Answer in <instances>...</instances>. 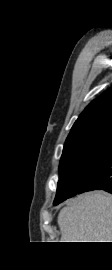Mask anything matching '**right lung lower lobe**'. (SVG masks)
<instances>
[{"label": "right lung lower lobe", "instance_id": "1", "mask_svg": "<svg viewBox=\"0 0 112 270\" xmlns=\"http://www.w3.org/2000/svg\"><path fill=\"white\" fill-rule=\"evenodd\" d=\"M82 185L83 192L105 190L112 193V143L103 157L84 173Z\"/></svg>", "mask_w": 112, "mask_h": 270}]
</instances>
